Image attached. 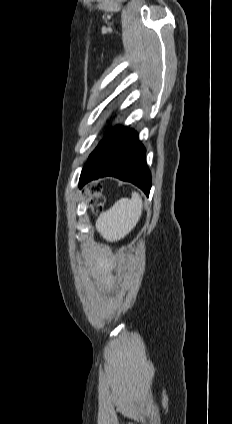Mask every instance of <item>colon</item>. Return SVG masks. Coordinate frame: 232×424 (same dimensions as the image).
Masks as SVG:
<instances>
[{"instance_id":"1","label":"colon","mask_w":232,"mask_h":424,"mask_svg":"<svg viewBox=\"0 0 232 424\" xmlns=\"http://www.w3.org/2000/svg\"><path fill=\"white\" fill-rule=\"evenodd\" d=\"M87 199L88 207L92 213L98 214L104 208V197L102 195V186L100 184L90 185L84 193Z\"/></svg>"}]
</instances>
